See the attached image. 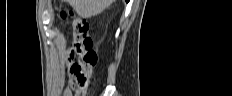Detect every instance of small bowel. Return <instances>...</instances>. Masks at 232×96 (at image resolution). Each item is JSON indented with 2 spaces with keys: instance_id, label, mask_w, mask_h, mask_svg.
<instances>
[{
  "instance_id": "c3829d8e",
  "label": "small bowel",
  "mask_w": 232,
  "mask_h": 96,
  "mask_svg": "<svg viewBox=\"0 0 232 96\" xmlns=\"http://www.w3.org/2000/svg\"><path fill=\"white\" fill-rule=\"evenodd\" d=\"M82 71H83V73L86 75V76H88L89 78H90V76H91V73H92V69L91 68H88V67H85V66H83L82 67ZM72 74V73H71ZM74 77H76L74 74H72Z\"/></svg>"
}]
</instances>
